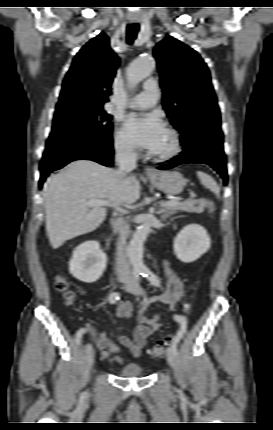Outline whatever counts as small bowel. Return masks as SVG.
Returning <instances> with one entry per match:
<instances>
[{"instance_id": "1", "label": "small bowel", "mask_w": 273, "mask_h": 430, "mask_svg": "<svg viewBox=\"0 0 273 430\" xmlns=\"http://www.w3.org/2000/svg\"><path fill=\"white\" fill-rule=\"evenodd\" d=\"M163 265L168 268L167 287L164 293L159 296L152 298V302H160L168 304L173 307L183 296L184 287L181 279L176 272L169 267V262L164 261ZM133 306L129 302H120L116 308V315L120 318H128L131 316ZM178 323L185 324L186 320L183 316L177 315ZM161 321L158 314H154L151 317L140 316L139 324L133 331L132 338L127 335L120 333L117 339L120 344L127 348V350L134 356L138 357L141 355L143 348L146 345L147 339L151 337L155 332L161 329ZM91 331L89 327L81 328L77 332L81 335ZM97 347L101 352L102 357L107 358L111 354L119 355L122 353L121 349L114 343L110 335L102 333L97 341Z\"/></svg>"}]
</instances>
